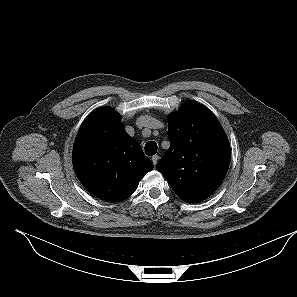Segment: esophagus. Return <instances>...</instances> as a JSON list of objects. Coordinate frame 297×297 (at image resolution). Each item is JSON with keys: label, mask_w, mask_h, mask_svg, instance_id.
I'll return each mask as SVG.
<instances>
[{"label": "esophagus", "mask_w": 297, "mask_h": 297, "mask_svg": "<svg viewBox=\"0 0 297 297\" xmlns=\"http://www.w3.org/2000/svg\"><path fill=\"white\" fill-rule=\"evenodd\" d=\"M151 160H152L153 164L156 165L157 162H158V160H159V156L158 155H154V156H152Z\"/></svg>", "instance_id": "34e87169"}]
</instances>
